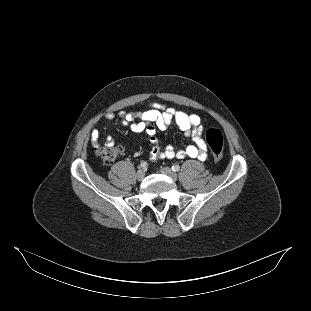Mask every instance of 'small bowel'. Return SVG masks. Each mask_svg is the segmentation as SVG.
I'll return each mask as SVG.
<instances>
[{
  "label": "small bowel",
  "instance_id": "1",
  "mask_svg": "<svg viewBox=\"0 0 311 311\" xmlns=\"http://www.w3.org/2000/svg\"><path fill=\"white\" fill-rule=\"evenodd\" d=\"M124 125L138 134L145 133L149 142L152 144L150 156L152 160L158 159H184L199 158L205 160L207 157V144L202 138L201 118L197 114H188L183 110L168 107L164 104L153 103L149 108L142 112H121L119 114ZM114 118L112 113L105 116L107 121ZM172 123L176 124L186 136L193 140V144L182 149H175L171 145L161 147L156 136V130H166ZM91 142L94 147L100 143V131L93 129L91 132ZM111 138L107 139V144L112 145Z\"/></svg>",
  "mask_w": 311,
  "mask_h": 311
}]
</instances>
